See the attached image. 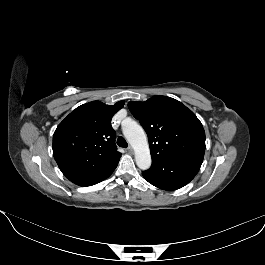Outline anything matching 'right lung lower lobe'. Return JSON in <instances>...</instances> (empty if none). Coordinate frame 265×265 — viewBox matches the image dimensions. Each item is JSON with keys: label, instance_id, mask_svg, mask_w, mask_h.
<instances>
[{"label": "right lung lower lobe", "instance_id": "obj_1", "mask_svg": "<svg viewBox=\"0 0 265 265\" xmlns=\"http://www.w3.org/2000/svg\"><path fill=\"white\" fill-rule=\"evenodd\" d=\"M116 166L106 170L86 169L80 171H69L63 174L71 182L79 186H91L109 177Z\"/></svg>", "mask_w": 265, "mask_h": 265}]
</instances>
